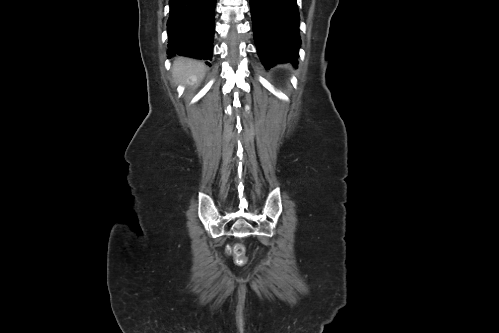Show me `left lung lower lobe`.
<instances>
[{"label":"left lung lower lobe","mask_w":499,"mask_h":333,"mask_svg":"<svg viewBox=\"0 0 499 333\" xmlns=\"http://www.w3.org/2000/svg\"><path fill=\"white\" fill-rule=\"evenodd\" d=\"M254 39L266 68L298 64L299 12L296 0H250Z\"/></svg>","instance_id":"obj_1"}]
</instances>
